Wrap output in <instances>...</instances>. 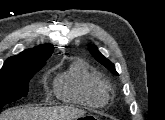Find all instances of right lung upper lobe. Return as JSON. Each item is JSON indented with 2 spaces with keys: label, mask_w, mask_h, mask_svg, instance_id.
Returning a JSON list of instances; mask_svg holds the SVG:
<instances>
[{
  "label": "right lung upper lobe",
  "mask_w": 165,
  "mask_h": 120,
  "mask_svg": "<svg viewBox=\"0 0 165 120\" xmlns=\"http://www.w3.org/2000/svg\"><path fill=\"white\" fill-rule=\"evenodd\" d=\"M53 45L45 44L32 49H27L16 56L9 57L4 65H14L30 62H45L53 52Z\"/></svg>",
  "instance_id": "obj_1"
}]
</instances>
